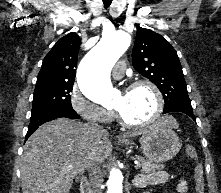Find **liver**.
Returning <instances> with one entry per match:
<instances>
[{
    "mask_svg": "<svg viewBox=\"0 0 221 193\" xmlns=\"http://www.w3.org/2000/svg\"><path fill=\"white\" fill-rule=\"evenodd\" d=\"M160 124L178 128L173 117L164 116ZM145 131L128 134L135 137ZM112 145L107 132L68 118H58L41 125L27 140L21 156L23 193H69L73 179L91 162L102 163ZM72 170L63 171L67 166Z\"/></svg>",
    "mask_w": 221,
    "mask_h": 193,
    "instance_id": "obj_1",
    "label": "liver"
}]
</instances>
